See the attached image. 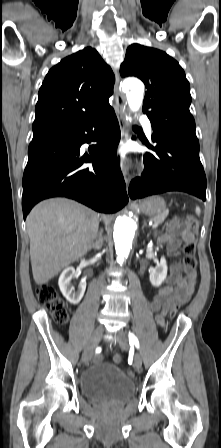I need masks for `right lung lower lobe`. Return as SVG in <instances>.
Segmentation results:
<instances>
[{
	"instance_id": "98d812e1",
	"label": "right lung lower lobe",
	"mask_w": 221,
	"mask_h": 448,
	"mask_svg": "<svg viewBox=\"0 0 221 448\" xmlns=\"http://www.w3.org/2000/svg\"><path fill=\"white\" fill-rule=\"evenodd\" d=\"M120 128L109 105L83 120L32 141L23 175L24 219L39 201L56 196L77 200L96 211L115 213L128 202L116 159ZM97 142L90 155L83 143Z\"/></svg>"
}]
</instances>
